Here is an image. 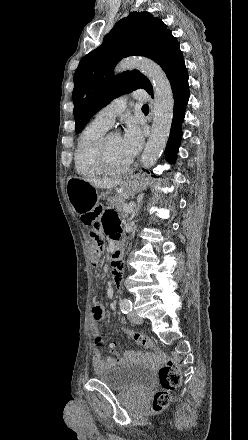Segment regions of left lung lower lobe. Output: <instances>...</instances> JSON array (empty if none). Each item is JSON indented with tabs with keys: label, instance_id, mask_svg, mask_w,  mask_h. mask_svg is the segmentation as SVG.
<instances>
[{
	"label": "left lung lower lobe",
	"instance_id": "1",
	"mask_svg": "<svg viewBox=\"0 0 248 440\" xmlns=\"http://www.w3.org/2000/svg\"><path fill=\"white\" fill-rule=\"evenodd\" d=\"M171 86L174 96V115L165 155L168 161L173 162L180 145L182 136L181 127L185 116L186 105L189 99L188 76L176 80Z\"/></svg>",
	"mask_w": 248,
	"mask_h": 440
}]
</instances>
